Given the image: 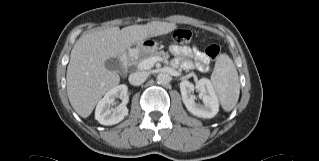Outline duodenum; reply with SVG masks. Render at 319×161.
Masks as SVG:
<instances>
[{"label":"duodenum","mask_w":319,"mask_h":161,"mask_svg":"<svg viewBox=\"0 0 319 161\" xmlns=\"http://www.w3.org/2000/svg\"><path fill=\"white\" fill-rule=\"evenodd\" d=\"M127 62H128V55L124 54L122 57V63L125 65V64H127Z\"/></svg>","instance_id":"1"}]
</instances>
